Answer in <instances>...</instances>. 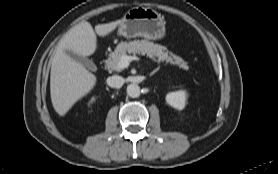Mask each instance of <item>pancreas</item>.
I'll use <instances>...</instances> for the list:
<instances>
[{
	"instance_id": "pancreas-1",
	"label": "pancreas",
	"mask_w": 278,
	"mask_h": 174,
	"mask_svg": "<svg viewBox=\"0 0 278 174\" xmlns=\"http://www.w3.org/2000/svg\"><path fill=\"white\" fill-rule=\"evenodd\" d=\"M128 54H141L147 55L153 61L157 63L166 62L172 65H177L184 70L188 69V64L182 58L174 55L173 53L166 51L164 46L154 44L147 40H134L130 42H121L117 45L114 52L109 55L106 65L115 71H120L119 61L120 58Z\"/></svg>"
}]
</instances>
